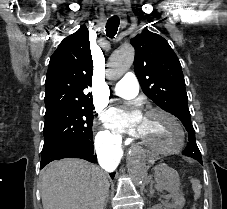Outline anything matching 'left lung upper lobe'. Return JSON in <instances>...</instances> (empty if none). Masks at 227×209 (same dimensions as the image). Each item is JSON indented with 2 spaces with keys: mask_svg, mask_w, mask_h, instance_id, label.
I'll use <instances>...</instances> for the list:
<instances>
[{
  "mask_svg": "<svg viewBox=\"0 0 227 209\" xmlns=\"http://www.w3.org/2000/svg\"><path fill=\"white\" fill-rule=\"evenodd\" d=\"M130 42L135 48L134 70L143 92L183 123L189 133V141L182 153L202 163L178 57L163 37L146 28Z\"/></svg>",
  "mask_w": 227,
  "mask_h": 209,
  "instance_id": "obj_1",
  "label": "left lung upper lobe"
}]
</instances>
